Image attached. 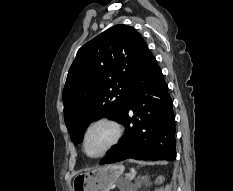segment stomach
<instances>
[{
	"label": "stomach",
	"instance_id": "0dacf381",
	"mask_svg": "<svg viewBox=\"0 0 233 191\" xmlns=\"http://www.w3.org/2000/svg\"><path fill=\"white\" fill-rule=\"evenodd\" d=\"M124 171L118 164H109L78 174L73 180V191H110Z\"/></svg>",
	"mask_w": 233,
	"mask_h": 191
}]
</instances>
